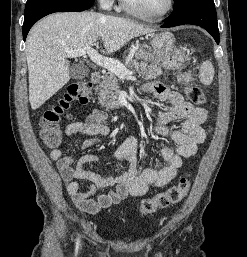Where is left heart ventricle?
<instances>
[{
	"instance_id": "1",
	"label": "left heart ventricle",
	"mask_w": 247,
	"mask_h": 257,
	"mask_svg": "<svg viewBox=\"0 0 247 257\" xmlns=\"http://www.w3.org/2000/svg\"><path fill=\"white\" fill-rule=\"evenodd\" d=\"M137 10L147 14L161 13L167 6L168 0H128Z\"/></svg>"
}]
</instances>
